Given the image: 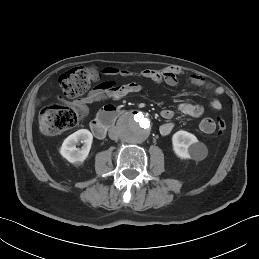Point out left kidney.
<instances>
[{
	"instance_id": "obj_1",
	"label": "left kidney",
	"mask_w": 259,
	"mask_h": 259,
	"mask_svg": "<svg viewBox=\"0 0 259 259\" xmlns=\"http://www.w3.org/2000/svg\"><path fill=\"white\" fill-rule=\"evenodd\" d=\"M172 145L174 153L181 159L197 158L198 150L204 147L195 135L183 130L172 136Z\"/></svg>"
}]
</instances>
